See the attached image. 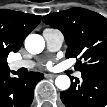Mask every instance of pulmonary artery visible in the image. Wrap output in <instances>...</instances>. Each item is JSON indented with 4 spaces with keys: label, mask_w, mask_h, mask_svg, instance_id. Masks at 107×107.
<instances>
[{
    "label": "pulmonary artery",
    "mask_w": 107,
    "mask_h": 107,
    "mask_svg": "<svg viewBox=\"0 0 107 107\" xmlns=\"http://www.w3.org/2000/svg\"><path fill=\"white\" fill-rule=\"evenodd\" d=\"M43 37L45 39L48 50L51 52H55L59 50L64 41L63 34L56 29H50V28L45 29L43 31ZM34 66H35V63L29 60H17L11 63V68L15 70L20 68L30 69V68H33ZM75 75L76 77H80L81 73L76 72Z\"/></svg>",
    "instance_id": "pulmonary-artery-1"
}]
</instances>
